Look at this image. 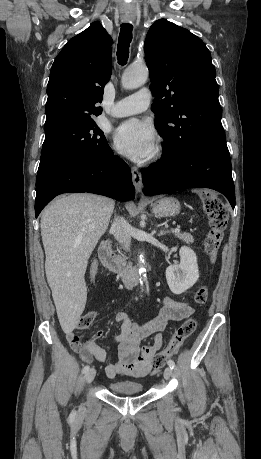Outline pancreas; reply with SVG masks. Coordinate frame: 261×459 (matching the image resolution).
<instances>
[{"instance_id": "obj_1", "label": "pancreas", "mask_w": 261, "mask_h": 459, "mask_svg": "<svg viewBox=\"0 0 261 459\" xmlns=\"http://www.w3.org/2000/svg\"><path fill=\"white\" fill-rule=\"evenodd\" d=\"M174 235H175L177 238H179V239H181L182 241H184L185 243H187V244L193 243V241H194L193 236H192L191 234H188V233L182 234V233H180V232H179V233H176V232H175ZM122 256H123V255H122ZM124 259H125V258H124V256H123V260H124Z\"/></svg>"}]
</instances>
